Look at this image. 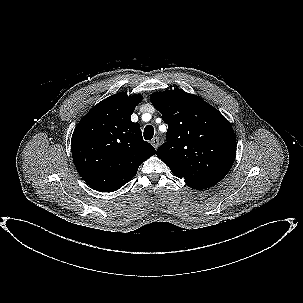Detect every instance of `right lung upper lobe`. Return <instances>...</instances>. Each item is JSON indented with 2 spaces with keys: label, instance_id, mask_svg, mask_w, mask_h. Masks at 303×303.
I'll use <instances>...</instances> for the list:
<instances>
[{
  "label": "right lung upper lobe",
  "instance_id": "1",
  "mask_svg": "<svg viewBox=\"0 0 303 303\" xmlns=\"http://www.w3.org/2000/svg\"><path fill=\"white\" fill-rule=\"evenodd\" d=\"M141 100V95L126 93L110 96L95 105L74 129L71 139L74 164L94 190H118L156 153L143 140L140 124L130 118Z\"/></svg>",
  "mask_w": 303,
  "mask_h": 303
}]
</instances>
